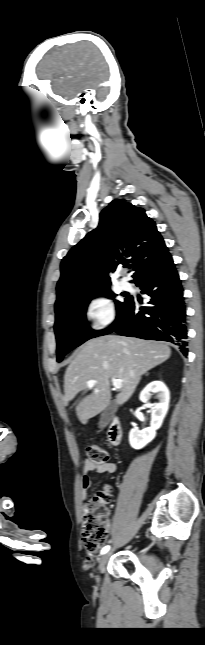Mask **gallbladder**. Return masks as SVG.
Masks as SVG:
<instances>
[{
	"mask_svg": "<svg viewBox=\"0 0 205 645\" xmlns=\"http://www.w3.org/2000/svg\"><path fill=\"white\" fill-rule=\"evenodd\" d=\"M116 410V404L114 401H110L108 406L105 408V410L102 412L100 420H99V428L103 429L105 428L111 421L114 413Z\"/></svg>",
	"mask_w": 205,
	"mask_h": 645,
	"instance_id": "gallbladder-1",
	"label": "gallbladder"
}]
</instances>
